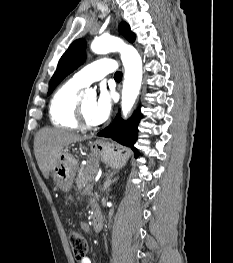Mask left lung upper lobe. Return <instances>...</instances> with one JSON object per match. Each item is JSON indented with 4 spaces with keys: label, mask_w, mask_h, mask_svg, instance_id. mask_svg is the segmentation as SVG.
Returning a JSON list of instances; mask_svg holds the SVG:
<instances>
[{
    "label": "left lung upper lobe",
    "mask_w": 233,
    "mask_h": 263,
    "mask_svg": "<svg viewBox=\"0 0 233 263\" xmlns=\"http://www.w3.org/2000/svg\"><path fill=\"white\" fill-rule=\"evenodd\" d=\"M119 31L129 42L135 41V34L131 32L130 27L127 23H121L119 26ZM85 45V40L78 39L74 41L67 49V51L62 55L58 63L56 72L50 80L48 95L52 93L54 88L62 79H64L68 74H70L74 69H76L85 61Z\"/></svg>",
    "instance_id": "5c2ea615"
}]
</instances>
